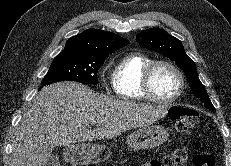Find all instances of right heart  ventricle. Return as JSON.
<instances>
[{"label":"right heart ventricle","instance_id":"1","mask_svg":"<svg viewBox=\"0 0 231 166\" xmlns=\"http://www.w3.org/2000/svg\"><path fill=\"white\" fill-rule=\"evenodd\" d=\"M153 61L140 52L125 55L115 65L111 83L116 96L123 100H146L142 90V76L145 68Z\"/></svg>","mask_w":231,"mask_h":166}]
</instances>
